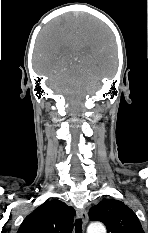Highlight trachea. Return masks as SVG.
Masks as SVG:
<instances>
[{
	"label": "trachea",
	"mask_w": 148,
	"mask_h": 233,
	"mask_svg": "<svg viewBox=\"0 0 148 233\" xmlns=\"http://www.w3.org/2000/svg\"><path fill=\"white\" fill-rule=\"evenodd\" d=\"M75 233H82V219L75 220Z\"/></svg>",
	"instance_id": "3493384b"
}]
</instances>
